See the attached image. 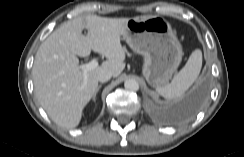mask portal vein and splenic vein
<instances>
[{
    "mask_svg": "<svg viewBox=\"0 0 244 157\" xmlns=\"http://www.w3.org/2000/svg\"><path fill=\"white\" fill-rule=\"evenodd\" d=\"M96 67H98V61L96 59L91 60L89 63L87 64H82L79 66V68L86 74L87 72H89L92 69H95Z\"/></svg>",
    "mask_w": 244,
    "mask_h": 157,
    "instance_id": "1",
    "label": "portal vein and splenic vein"
}]
</instances>
